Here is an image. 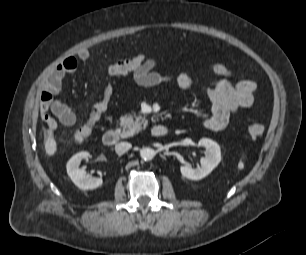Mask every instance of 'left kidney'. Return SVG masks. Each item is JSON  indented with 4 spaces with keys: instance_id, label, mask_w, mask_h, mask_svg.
<instances>
[{
    "instance_id": "obj_1",
    "label": "left kidney",
    "mask_w": 306,
    "mask_h": 255,
    "mask_svg": "<svg viewBox=\"0 0 306 255\" xmlns=\"http://www.w3.org/2000/svg\"><path fill=\"white\" fill-rule=\"evenodd\" d=\"M198 145L205 148V157L200 159V166L197 168L180 167L182 176L190 180H200L206 177L221 161L220 147L215 141L202 138L199 140Z\"/></svg>"
}]
</instances>
